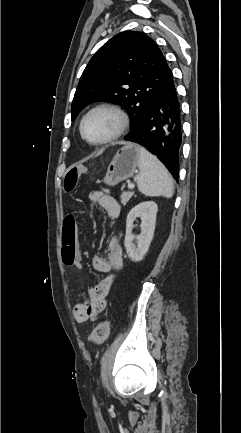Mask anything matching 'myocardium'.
Returning <instances> with one entry per match:
<instances>
[{
    "mask_svg": "<svg viewBox=\"0 0 241 433\" xmlns=\"http://www.w3.org/2000/svg\"><path fill=\"white\" fill-rule=\"evenodd\" d=\"M98 111H107L112 113L115 118L117 119V127L115 131L109 135L108 137L99 140V141H90L87 139L84 135V124L86 120L94 113ZM129 126V118L127 113L118 105L112 104V103H101L93 106L91 109H89L82 117L79 125V132L81 138L88 144L92 146H104L111 144L118 140L128 129Z\"/></svg>",
    "mask_w": 241,
    "mask_h": 433,
    "instance_id": "myocardium-1",
    "label": "myocardium"
}]
</instances>
